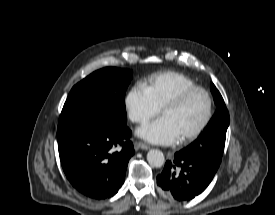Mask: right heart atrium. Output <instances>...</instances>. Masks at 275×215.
<instances>
[{
	"instance_id": "obj_1",
	"label": "right heart atrium",
	"mask_w": 275,
	"mask_h": 215,
	"mask_svg": "<svg viewBox=\"0 0 275 215\" xmlns=\"http://www.w3.org/2000/svg\"><path fill=\"white\" fill-rule=\"evenodd\" d=\"M125 106L130 120L138 124L147 122L160 111L142 84H136L128 91L125 97Z\"/></svg>"
}]
</instances>
